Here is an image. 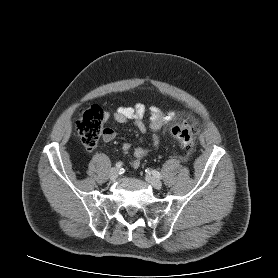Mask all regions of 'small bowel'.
Wrapping results in <instances>:
<instances>
[{"instance_id":"1","label":"small bowel","mask_w":278,"mask_h":278,"mask_svg":"<svg viewBox=\"0 0 278 278\" xmlns=\"http://www.w3.org/2000/svg\"><path fill=\"white\" fill-rule=\"evenodd\" d=\"M149 112L150 123L147 126L144 122V117ZM110 114L106 115V118ZM111 116L119 123H132L137 129L145 134L148 131L151 132L152 146L159 145V133L160 131L176 117L174 111L164 112L158 107H151L149 110L142 103H136L133 106H120L111 113ZM116 133L112 128L106 127L103 132V139L106 142L114 140ZM131 150V144L126 142L122 145V151L124 154L129 155ZM149 152V148L146 146H139L134 149L131 154L130 164L137 168L139 167L141 160L146 157Z\"/></svg>"}]
</instances>
